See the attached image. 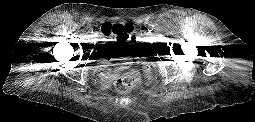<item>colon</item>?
<instances>
[{
  "label": "colon",
  "mask_w": 255,
  "mask_h": 122,
  "mask_svg": "<svg viewBox=\"0 0 255 122\" xmlns=\"http://www.w3.org/2000/svg\"><path fill=\"white\" fill-rule=\"evenodd\" d=\"M102 32L106 36L112 34L122 35L125 38L134 37L135 29L130 23L127 24H110L102 27ZM146 74L149 73V69H145ZM139 72L134 68H127L122 75L115 81V89L120 93H126L133 89L139 82Z\"/></svg>",
  "instance_id": "obj_1"
}]
</instances>
